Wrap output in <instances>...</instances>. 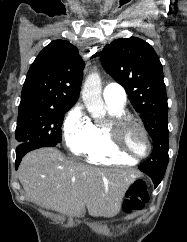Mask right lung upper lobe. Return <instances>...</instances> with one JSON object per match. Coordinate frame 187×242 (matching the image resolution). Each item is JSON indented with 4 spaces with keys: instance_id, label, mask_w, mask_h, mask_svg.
Returning <instances> with one entry per match:
<instances>
[{
    "instance_id": "obj_1",
    "label": "right lung upper lobe",
    "mask_w": 187,
    "mask_h": 242,
    "mask_svg": "<svg viewBox=\"0 0 187 242\" xmlns=\"http://www.w3.org/2000/svg\"><path fill=\"white\" fill-rule=\"evenodd\" d=\"M83 69L75 46L64 40L52 41L28 71L19 109H70L79 98Z\"/></svg>"
}]
</instances>
